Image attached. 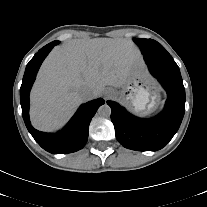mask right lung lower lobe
Returning <instances> with one entry per match:
<instances>
[{
	"mask_svg": "<svg viewBox=\"0 0 207 207\" xmlns=\"http://www.w3.org/2000/svg\"><path fill=\"white\" fill-rule=\"evenodd\" d=\"M56 42L53 41L41 48L27 64L20 88V102L25 125L35 141L52 154H66L76 152L85 146L90 121L97 109L104 104V100L99 98L83 104L58 133H44L32 127L29 120V93L41 63L53 46L58 44Z\"/></svg>",
	"mask_w": 207,
	"mask_h": 207,
	"instance_id": "right-lung-lower-lobe-1",
	"label": "right lung lower lobe"
}]
</instances>
